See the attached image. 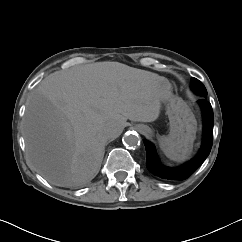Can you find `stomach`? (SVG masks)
I'll list each match as a JSON object with an SVG mask.
<instances>
[{
	"label": "stomach",
	"instance_id": "0dacf381",
	"mask_svg": "<svg viewBox=\"0 0 242 242\" xmlns=\"http://www.w3.org/2000/svg\"><path fill=\"white\" fill-rule=\"evenodd\" d=\"M170 123L167 137H159L162 149H171L186 157L193 146L196 133V120L187 104L179 97L171 95L162 101ZM140 130L150 132L146 125L139 124Z\"/></svg>",
	"mask_w": 242,
	"mask_h": 242
}]
</instances>
